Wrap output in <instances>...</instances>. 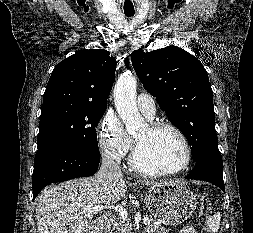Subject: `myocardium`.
Here are the masks:
<instances>
[{"label": "myocardium", "instance_id": "myocardium-1", "mask_svg": "<svg viewBox=\"0 0 253 233\" xmlns=\"http://www.w3.org/2000/svg\"><path fill=\"white\" fill-rule=\"evenodd\" d=\"M149 129L153 132L160 131V130H169L172 131L180 140L183 148H184V159L182 164L171 170H149L145 168L139 160V144L138 142L134 141V146L131 154V166L140 174L147 176V177H162V176H173L184 172L190 165L192 160V149L190 143L183 133L181 129L169 122L163 121H155L151 122L148 125Z\"/></svg>", "mask_w": 253, "mask_h": 233}]
</instances>
